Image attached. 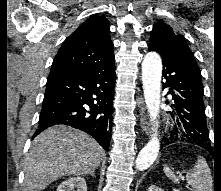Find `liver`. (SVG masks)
Masks as SVG:
<instances>
[{"label":"liver","instance_id":"obj_1","mask_svg":"<svg viewBox=\"0 0 221 191\" xmlns=\"http://www.w3.org/2000/svg\"><path fill=\"white\" fill-rule=\"evenodd\" d=\"M104 151L89 135L56 125L32 142L24 165V191H41L62 176L85 175L100 165Z\"/></svg>","mask_w":221,"mask_h":191}]
</instances>
